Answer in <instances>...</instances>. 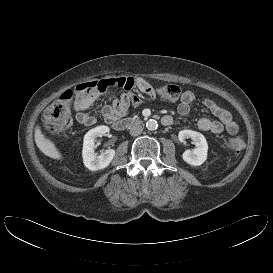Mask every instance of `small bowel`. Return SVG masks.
I'll use <instances>...</instances> for the list:
<instances>
[{"instance_id": "c3829d8e", "label": "small bowel", "mask_w": 273, "mask_h": 273, "mask_svg": "<svg viewBox=\"0 0 273 273\" xmlns=\"http://www.w3.org/2000/svg\"><path fill=\"white\" fill-rule=\"evenodd\" d=\"M137 87L142 93L149 97H156V90L144 79H137ZM98 97L99 95H94L76 101V119L80 124L92 126L96 123V118L87 110ZM194 100L195 94L192 91H184L180 97L177 112L182 116L188 115L192 110V103ZM139 102V97L134 93H122L112 104L104 105L101 108V113L106 121L110 122L113 118L125 116L129 112L130 107L137 105ZM203 104L216 119L206 117L200 118L197 121V126L200 130L209 131L215 134L226 131L230 135H235L238 132V124L233 120L231 113L225 107L210 98H206L203 101ZM166 117L170 120L169 125H171L173 123V118L171 116Z\"/></svg>"}]
</instances>
